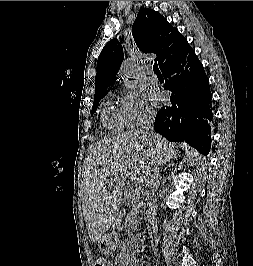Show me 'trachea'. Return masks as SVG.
<instances>
[{
  "instance_id": "trachea-1",
  "label": "trachea",
  "mask_w": 253,
  "mask_h": 266,
  "mask_svg": "<svg viewBox=\"0 0 253 266\" xmlns=\"http://www.w3.org/2000/svg\"><path fill=\"white\" fill-rule=\"evenodd\" d=\"M153 71L155 74H161L159 68H158V64L155 62L153 65Z\"/></svg>"
}]
</instances>
